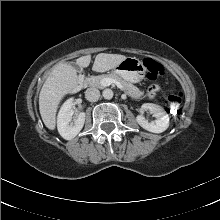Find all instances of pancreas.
I'll return each instance as SVG.
<instances>
[{
  "label": "pancreas",
  "mask_w": 220,
  "mask_h": 220,
  "mask_svg": "<svg viewBox=\"0 0 220 220\" xmlns=\"http://www.w3.org/2000/svg\"><path fill=\"white\" fill-rule=\"evenodd\" d=\"M104 78H111V79L118 81L123 86L124 91L132 98H140L144 94L135 85L123 80L121 77H119L115 73L102 74V75H98V76H91L86 79V83L91 87L102 88L103 86L101 85V80Z\"/></svg>",
  "instance_id": "cf45deb5"
}]
</instances>
